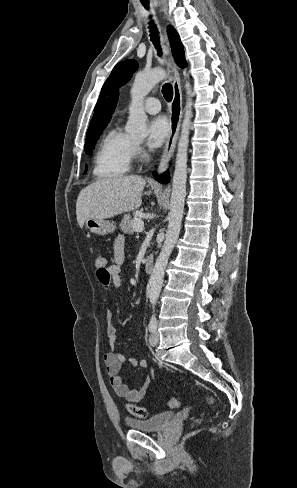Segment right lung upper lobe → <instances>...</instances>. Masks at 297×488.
Returning <instances> with one entry per match:
<instances>
[{
	"label": "right lung upper lobe",
	"instance_id": "obj_1",
	"mask_svg": "<svg viewBox=\"0 0 297 488\" xmlns=\"http://www.w3.org/2000/svg\"><path fill=\"white\" fill-rule=\"evenodd\" d=\"M118 97H119L118 91L112 93L107 98V100L103 103V105L98 109V111L95 112L93 119L89 125L86 137L90 135L98 127L105 125L109 122L116 108Z\"/></svg>",
	"mask_w": 297,
	"mask_h": 488
}]
</instances>
